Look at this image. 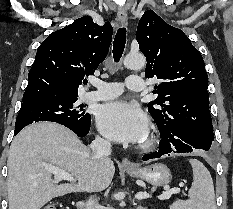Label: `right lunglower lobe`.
Here are the masks:
<instances>
[{"label":"right lung lower lobe","mask_w":233,"mask_h":209,"mask_svg":"<svg viewBox=\"0 0 233 209\" xmlns=\"http://www.w3.org/2000/svg\"><path fill=\"white\" fill-rule=\"evenodd\" d=\"M90 123H91V118L90 120L84 124V125H81V126H75V127H72V126H66L68 127L69 129H71L74 133H76L79 137H84L86 134L89 133V130H90ZM22 129L21 128H15V131H14V135H16L20 130Z\"/></svg>","instance_id":"1"}]
</instances>
